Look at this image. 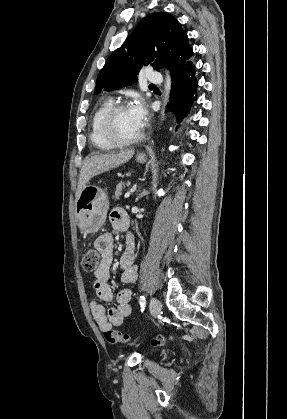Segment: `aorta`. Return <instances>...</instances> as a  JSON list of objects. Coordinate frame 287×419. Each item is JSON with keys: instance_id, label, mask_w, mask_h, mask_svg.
Listing matches in <instances>:
<instances>
[{"instance_id": "1", "label": "aorta", "mask_w": 287, "mask_h": 419, "mask_svg": "<svg viewBox=\"0 0 287 419\" xmlns=\"http://www.w3.org/2000/svg\"><path fill=\"white\" fill-rule=\"evenodd\" d=\"M170 90H171V77H170L169 72H167L166 81H165V103H164L163 111H162L163 116H164V109L169 98Z\"/></svg>"}]
</instances>
